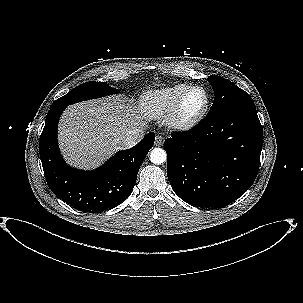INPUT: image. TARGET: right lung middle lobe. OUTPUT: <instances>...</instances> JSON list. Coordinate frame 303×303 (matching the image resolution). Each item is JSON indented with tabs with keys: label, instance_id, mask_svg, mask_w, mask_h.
Instances as JSON below:
<instances>
[{
	"label": "right lung middle lobe",
	"instance_id": "1",
	"mask_svg": "<svg viewBox=\"0 0 303 303\" xmlns=\"http://www.w3.org/2000/svg\"><path fill=\"white\" fill-rule=\"evenodd\" d=\"M118 92L117 89L110 87L105 82H86L77 86L63 97L54 101L51 106H68L80 101L99 98Z\"/></svg>",
	"mask_w": 303,
	"mask_h": 303
}]
</instances>
